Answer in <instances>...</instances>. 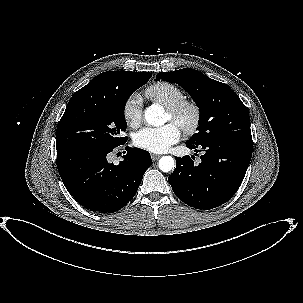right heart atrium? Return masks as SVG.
I'll list each match as a JSON object with an SVG mask.
<instances>
[{
    "label": "right heart atrium",
    "mask_w": 303,
    "mask_h": 303,
    "mask_svg": "<svg viewBox=\"0 0 303 303\" xmlns=\"http://www.w3.org/2000/svg\"><path fill=\"white\" fill-rule=\"evenodd\" d=\"M122 113L126 124L136 128L142 121V99L139 94H131L124 102Z\"/></svg>",
    "instance_id": "1"
}]
</instances>
